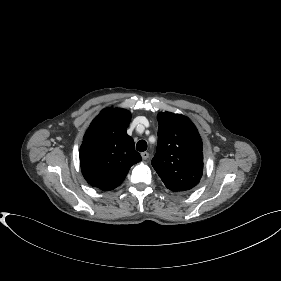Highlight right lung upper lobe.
<instances>
[{
	"label": "right lung upper lobe",
	"mask_w": 281,
	"mask_h": 281,
	"mask_svg": "<svg viewBox=\"0 0 281 281\" xmlns=\"http://www.w3.org/2000/svg\"><path fill=\"white\" fill-rule=\"evenodd\" d=\"M131 113L106 108L92 121L80 148V166L86 181L109 191L119 186L130 167L142 160L126 128Z\"/></svg>",
	"instance_id": "right-lung-upper-lobe-1"
}]
</instances>
